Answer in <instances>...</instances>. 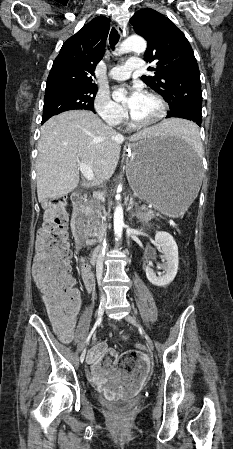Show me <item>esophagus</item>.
I'll use <instances>...</instances> for the list:
<instances>
[{"label": "esophagus", "instance_id": "esophagus-1", "mask_svg": "<svg viewBox=\"0 0 233 449\" xmlns=\"http://www.w3.org/2000/svg\"><path fill=\"white\" fill-rule=\"evenodd\" d=\"M117 30L121 36H126V34L128 33V28L125 25L119 24L117 26Z\"/></svg>", "mask_w": 233, "mask_h": 449}]
</instances>
